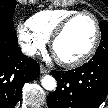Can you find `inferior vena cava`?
I'll list each match as a JSON object with an SVG mask.
<instances>
[{
	"instance_id": "602c4592",
	"label": "inferior vena cava",
	"mask_w": 108,
	"mask_h": 108,
	"mask_svg": "<svg viewBox=\"0 0 108 108\" xmlns=\"http://www.w3.org/2000/svg\"><path fill=\"white\" fill-rule=\"evenodd\" d=\"M21 50L27 56H33L37 52V49L35 47L28 45V44H23L21 46Z\"/></svg>"
}]
</instances>
